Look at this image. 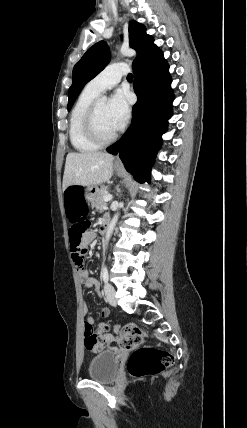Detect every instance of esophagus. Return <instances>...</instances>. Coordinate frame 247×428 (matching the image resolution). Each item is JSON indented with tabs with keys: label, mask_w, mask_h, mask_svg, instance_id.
Instances as JSON below:
<instances>
[{
	"label": "esophagus",
	"mask_w": 247,
	"mask_h": 428,
	"mask_svg": "<svg viewBox=\"0 0 247 428\" xmlns=\"http://www.w3.org/2000/svg\"><path fill=\"white\" fill-rule=\"evenodd\" d=\"M115 163L118 165H121V161H120L119 157L116 158Z\"/></svg>",
	"instance_id": "obj_1"
}]
</instances>
